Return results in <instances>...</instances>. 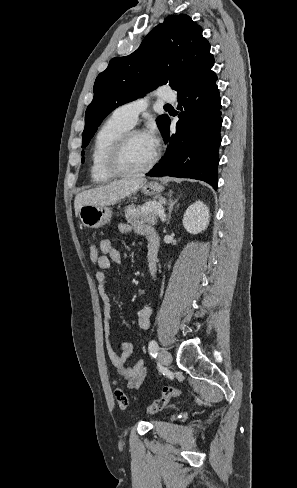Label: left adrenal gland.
<instances>
[{
	"label": "left adrenal gland",
	"instance_id": "left-adrenal-gland-1",
	"mask_svg": "<svg viewBox=\"0 0 297 488\" xmlns=\"http://www.w3.org/2000/svg\"><path fill=\"white\" fill-rule=\"evenodd\" d=\"M177 202V199L173 200L172 199V191L169 192V199H168V219H167V223H169L170 221V218H171V213H172V210H173V207L174 205L176 204Z\"/></svg>",
	"mask_w": 297,
	"mask_h": 488
}]
</instances>
